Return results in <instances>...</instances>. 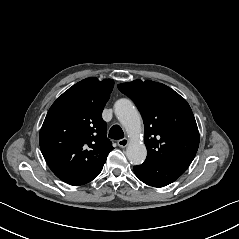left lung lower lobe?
Here are the masks:
<instances>
[{
	"label": "left lung lower lobe",
	"instance_id": "0a47b994",
	"mask_svg": "<svg viewBox=\"0 0 239 239\" xmlns=\"http://www.w3.org/2000/svg\"><path fill=\"white\" fill-rule=\"evenodd\" d=\"M189 167L185 163L144 162L134 166L135 175L145 184L163 187L179 178Z\"/></svg>",
	"mask_w": 239,
	"mask_h": 239
}]
</instances>
